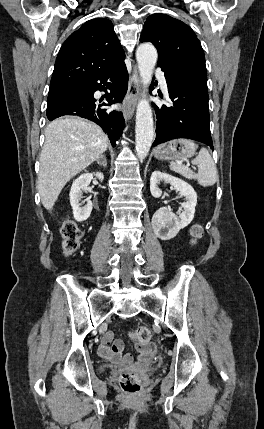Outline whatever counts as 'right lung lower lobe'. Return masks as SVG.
I'll list each match as a JSON object with an SVG mask.
<instances>
[{"label":"right lung lower lobe","mask_w":264,"mask_h":429,"mask_svg":"<svg viewBox=\"0 0 264 429\" xmlns=\"http://www.w3.org/2000/svg\"><path fill=\"white\" fill-rule=\"evenodd\" d=\"M124 58L90 80L48 102V119L52 121L64 115L87 118L98 124L108 134L112 146H115V142L122 135L125 121L121 112L109 111L104 106L121 102L127 92L128 73ZM105 85L110 90L106 99L108 103L97 101L93 97L95 91H105Z\"/></svg>","instance_id":"98d812e1"}]
</instances>
